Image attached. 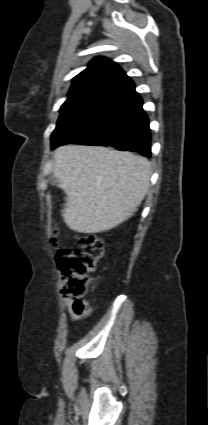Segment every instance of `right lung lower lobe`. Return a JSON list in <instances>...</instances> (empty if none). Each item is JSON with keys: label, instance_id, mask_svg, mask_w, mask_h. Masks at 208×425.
I'll return each instance as SVG.
<instances>
[{"label": "right lung lower lobe", "instance_id": "98d812e1", "mask_svg": "<svg viewBox=\"0 0 208 425\" xmlns=\"http://www.w3.org/2000/svg\"><path fill=\"white\" fill-rule=\"evenodd\" d=\"M142 106L133 81L124 73L56 127L52 148L66 143L112 146L150 157L149 120Z\"/></svg>", "mask_w": 208, "mask_h": 425}]
</instances>
